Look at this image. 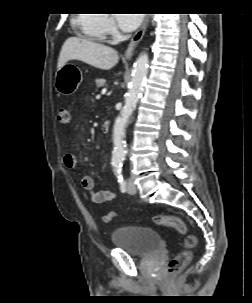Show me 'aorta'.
Instances as JSON below:
<instances>
[{
  "instance_id": "obj_1",
  "label": "aorta",
  "mask_w": 252,
  "mask_h": 303,
  "mask_svg": "<svg viewBox=\"0 0 252 303\" xmlns=\"http://www.w3.org/2000/svg\"><path fill=\"white\" fill-rule=\"evenodd\" d=\"M148 63L149 58L147 53H142L139 55L133 66L132 78L129 84L125 104L113 129L114 149L112 153V164L114 166H120L125 160L127 154L124 142L125 128L141 96L143 85L148 74Z\"/></svg>"
}]
</instances>
